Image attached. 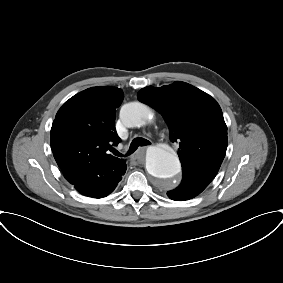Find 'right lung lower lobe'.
Segmentation results:
<instances>
[{
    "label": "right lung lower lobe",
    "instance_id": "right-lung-lower-lobe-1",
    "mask_svg": "<svg viewBox=\"0 0 283 283\" xmlns=\"http://www.w3.org/2000/svg\"><path fill=\"white\" fill-rule=\"evenodd\" d=\"M125 165L104 164L97 168L95 175L82 178L74 184L76 190L89 197L101 198L113 192L126 172Z\"/></svg>",
    "mask_w": 283,
    "mask_h": 283
}]
</instances>
